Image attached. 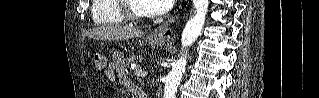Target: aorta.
<instances>
[{"label":"aorta","mask_w":319,"mask_h":98,"mask_svg":"<svg viewBox=\"0 0 319 98\" xmlns=\"http://www.w3.org/2000/svg\"><path fill=\"white\" fill-rule=\"evenodd\" d=\"M193 5L196 12L194 16L188 20L182 32L181 44L183 49L190 47L200 35L205 23L209 0H193ZM186 64V56H181L176 63H174L167 77L163 98H175L178 86L186 69Z\"/></svg>","instance_id":"1"}]
</instances>
